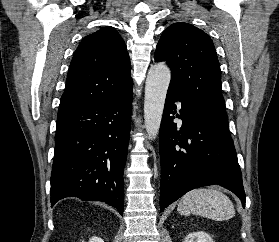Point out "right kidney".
Masks as SVG:
<instances>
[{"instance_id": "1", "label": "right kidney", "mask_w": 279, "mask_h": 242, "mask_svg": "<svg viewBox=\"0 0 279 242\" xmlns=\"http://www.w3.org/2000/svg\"><path fill=\"white\" fill-rule=\"evenodd\" d=\"M89 242H104L101 238L93 236L89 239Z\"/></svg>"}]
</instances>
